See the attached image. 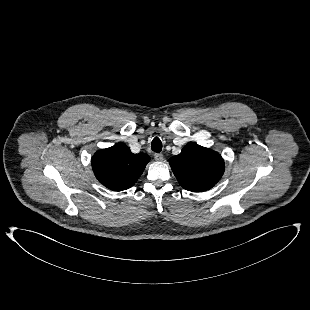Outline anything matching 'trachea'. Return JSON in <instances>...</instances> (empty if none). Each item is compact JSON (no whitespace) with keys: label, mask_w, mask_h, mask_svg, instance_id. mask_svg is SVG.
I'll return each instance as SVG.
<instances>
[{"label":"trachea","mask_w":310,"mask_h":310,"mask_svg":"<svg viewBox=\"0 0 310 310\" xmlns=\"http://www.w3.org/2000/svg\"><path fill=\"white\" fill-rule=\"evenodd\" d=\"M151 149L154 152H157V153L161 152V150H162V142H161V140L158 137H155L152 140Z\"/></svg>","instance_id":"3493384b"}]
</instances>
